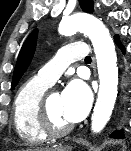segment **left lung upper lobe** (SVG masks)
<instances>
[{
  "instance_id": "1",
  "label": "left lung upper lobe",
  "mask_w": 131,
  "mask_h": 151,
  "mask_svg": "<svg viewBox=\"0 0 131 151\" xmlns=\"http://www.w3.org/2000/svg\"><path fill=\"white\" fill-rule=\"evenodd\" d=\"M79 3L83 11L88 13H92L94 11L92 0H79ZM37 36L38 29H34L21 48L13 73V81L11 86L12 89H14V87L17 85L33 58Z\"/></svg>"
}]
</instances>
